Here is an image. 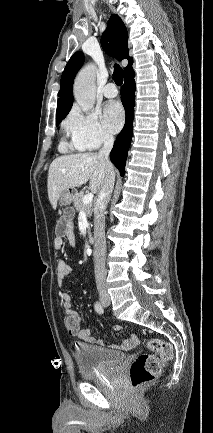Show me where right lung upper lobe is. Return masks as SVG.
I'll return each instance as SVG.
<instances>
[{"label": "right lung upper lobe", "instance_id": "obj_1", "mask_svg": "<svg viewBox=\"0 0 213 433\" xmlns=\"http://www.w3.org/2000/svg\"><path fill=\"white\" fill-rule=\"evenodd\" d=\"M128 34L126 27L118 15H112L106 30L101 37V45L107 54L116 57L117 60L128 59L125 73L132 69V58L128 55ZM84 63V55L81 51L72 55L61 77L58 93L57 120L63 119L73 105V82L76 73Z\"/></svg>", "mask_w": 213, "mask_h": 433}]
</instances>
